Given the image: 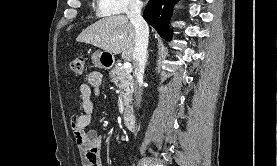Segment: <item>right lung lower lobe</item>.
<instances>
[{
	"mask_svg": "<svg viewBox=\"0 0 277 166\" xmlns=\"http://www.w3.org/2000/svg\"><path fill=\"white\" fill-rule=\"evenodd\" d=\"M177 0H150L144 10V19L152 25L167 41L171 39L172 30L169 19Z\"/></svg>",
	"mask_w": 277,
	"mask_h": 166,
	"instance_id": "98d812e1",
	"label": "right lung lower lobe"
}]
</instances>
